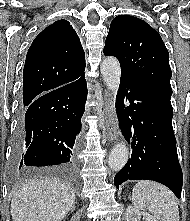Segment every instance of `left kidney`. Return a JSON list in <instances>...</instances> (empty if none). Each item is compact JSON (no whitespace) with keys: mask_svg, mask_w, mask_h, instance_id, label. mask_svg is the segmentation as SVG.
I'll return each instance as SVG.
<instances>
[{"mask_svg":"<svg viewBox=\"0 0 190 221\" xmlns=\"http://www.w3.org/2000/svg\"><path fill=\"white\" fill-rule=\"evenodd\" d=\"M143 216L146 221H157L153 216L146 212H140L133 206H128L126 209V221H139L140 217Z\"/></svg>","mask_w":190,"mask_h":221,"instance_id":"1","label":"left kidney"}]
</instances>
